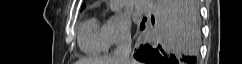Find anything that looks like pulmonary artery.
<instances>
[{
	"label": "pulmonary artery",
	"instance_id": "e3ab8cb5",
	"mask_svg": "<svg viewBox=\"0 0 242 64\" xmlns=\"http://www.w3.org/2000/svg\"><path fill=\"white\" fill-rule=\"evenodd\" d=\"M135 6L138 10L146 12L149 10V2L147 0H137Z\"/></svg>",
	"mask_w": 242,
	"mask_h": 64
}]
</instances>
